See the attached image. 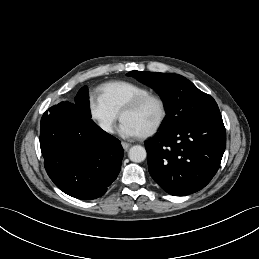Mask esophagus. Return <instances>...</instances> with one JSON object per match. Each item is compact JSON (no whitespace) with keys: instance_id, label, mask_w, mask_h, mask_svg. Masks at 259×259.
<instances>
[{"instance_id":"esophagus-1","label":"esophagus","mask_w":259,"mask_h":259,"mask_svg":"<svg viewBox=\"0 0 259 259\" xmlns=\"http://www.w3.org/2000/svg\"><path fill=\"white\" fill-rule=\"evenodd\" d=\"M121 144H122V147L124 148L125 151H127L131 146V144H129L127 142H122Z\"/></svg>"}]
</instances>
